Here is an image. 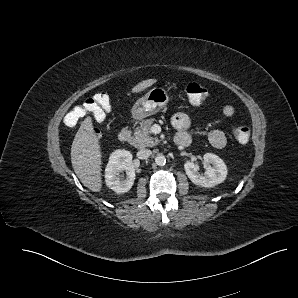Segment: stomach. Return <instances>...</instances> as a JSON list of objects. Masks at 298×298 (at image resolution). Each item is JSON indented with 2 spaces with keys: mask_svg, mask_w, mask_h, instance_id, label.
<instances>
[{
  "mask_svg": "<svg viewBox=\"0 0 298 298\" xmlns=\"http://www.w3.org/2000/svg\"><path fill=\"white\" fill-rule=\"evenodd\" d=\"M169 102L167 92L161 87H154L143 97L139 98L132 107V116L136 120H142L156 114Z\"/></svg>",
  "mask_w": 298,
  "mask_h": 298,
  "instance_id": "obj_1",
  "label": "stomach"
}]
</instances>
